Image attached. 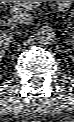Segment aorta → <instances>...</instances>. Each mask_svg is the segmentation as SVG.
I'll return each instance as SVG.
<instances>
[{"instance_id": "aorta-1", "label": "aorta", "mask_w": 74, "mask_h": 122, "mask_svg": "<svg viewBox=\"0 0 74 122\" xmlns=\"http://www.w3.org/2000/svg\"><path fill=\"white\" fill-rule=\"evenodd\" d=\"M37 40L41 45H51L56 40V32L50 26H42L37 31Z\"/></svg>"}]
</instances>
